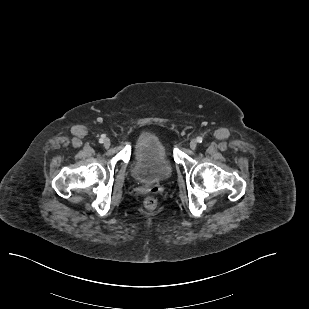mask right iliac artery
Segmentation results:
<instances>
[{
    "instance_id": "right-iliac-artery-1",
    "label": "right iliac artery",
    "mask_w": 309,
    "mask_h": 309,
    "mask_svg": "<svg viewBox=\"0 0 309 309\" xmlns=\"http://www.w3.org/2000/svg\"><path fill=\"white\" fill-rule=\"evenodd\" d=\"M104 138H105V136L102 135L101 138L99 139V143H103Z\"/></svg>"
}]
</instances>
